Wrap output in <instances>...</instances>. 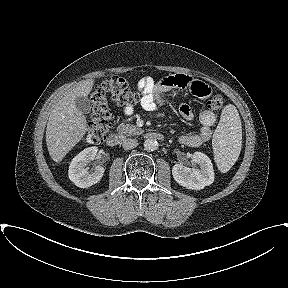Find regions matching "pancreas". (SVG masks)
Returning <instances> with one entry per match:
<instances>
[{"label":"pancreas","instance_id":"1","mask_svg":"<svg viewBox=\"0 0 288 288\" xmlns=\"http://www.w3.org/2000/svg\"><path fill=\"white\" fill-rule=\"evenodd\" d=\"M118 132L121 135L131 136L141 134L143 132V129L133 124L121 123L118 127Z\"/></svg>","mask_w":288,"mask_h":288}]
</instances>
